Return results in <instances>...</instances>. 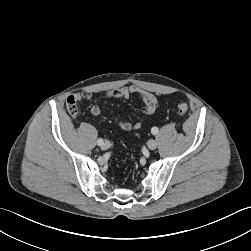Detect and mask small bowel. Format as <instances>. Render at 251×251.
<instances>
[{"instance_id":"small-bowel-1","label":"small bowel","mask_w":251,"mask_h":251,"mask_svg":"<svg viewBox=\"0 0 251 251\" xmlns=\"http://www.w3.org/2000/svg\"><path fill=\"white\" fill-rule=\"evenodd\" d=\"M132 95H138L143 102L142 117L136 122L123 121L119 118H115V122L123 131H135L140 129L158 108V101L155 95L135 85L117 88L107 93V97L113 99L129 98ZM89 98H91V93L88 91L70 95L66 102L70 114L75 116L78 103L83 99ZM90 112L92 115L98 116L101 113V108L98 104H93L90 108Z\"/></svg>"}]
</instances>
